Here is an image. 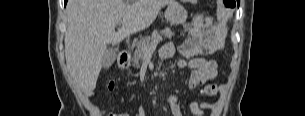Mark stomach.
Returning a JSON list of instances; mask_svg holds the SVG:
<instances>
[{"label": "stomach", "mask_w": 305, "mask_h": 116, "mask_svg": "<svg viewBox=\"0 0 305 116\" xmlns=\"http://www.w3.org/2000/svg\"><path fill=\"white\" fill-rule=\"evenodd\" d=\"M164 15L167 21L174 25L184 24L187 19L186 9L176 1L168 5Z\"/></svg>", "instance_id": "0dacf381"}]
</instances>
